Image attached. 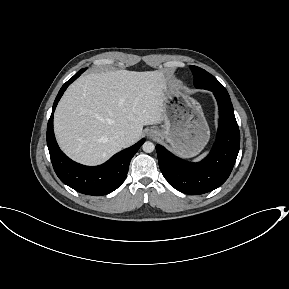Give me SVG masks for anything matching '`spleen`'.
<instances>
[{"label":"spleen","mask_w":289,"mask_h":289,"mask_svg":"<svg viewBox=\"0 0 289 289\" xmlns=\"http://www.w3.org/2000/svg\"><path fill=\"white\" fill-rule=\"evenodd\" d=\"M205 154L199 156L198 158H196L194 161H199L200 159H202L204 157Z\"/></svg>","instance_id":"spleen-1"}]
</instances>
